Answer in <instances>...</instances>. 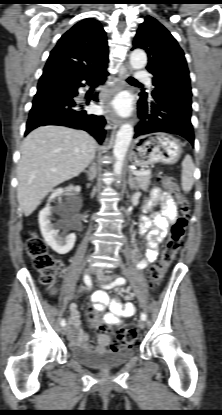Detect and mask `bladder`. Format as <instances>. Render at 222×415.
<instances>
[{"label": "bladder", "mask_w": 222, "mask_h": 415, "mask_svg": "<svg viewBox=\"0 0 222 415\" xmlns=\"http://www.w3.org/2000/svg\"><path fill=\"white\" fill-rule=\"evenodd\" d=\"M70 356L84 366L92 368H111L126 364L135 356L133 348L123 347L105 351H88L72 348Z\"/></svg>", "instance_id": "bladder-1"}]
</instances>
